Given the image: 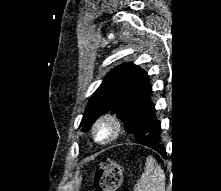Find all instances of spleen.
Wrapping results in <instances>:
<instances>
[{
  "instance_id": "obj_1",
  "label": "spleen",
  "mask_w": 221,
  "mask_h": 191,
  "mask_svg": "<svg viewBox=\"0 0 221 191\" xmlns=\"http://www.w3.org/2000/svg\"><path fill=\"white\" fill-rule=\"evenodd\" d=\"M165 174L155 158L146 159L145 169L134 186V191H165Z\"/></svg>"
}]
</instances>
